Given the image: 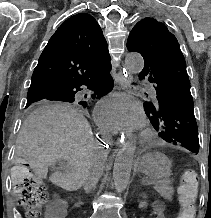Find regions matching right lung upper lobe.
<instances>
[{"label": "right lung upper lobe", "mask_w": 211, "mask_h": 218, "mask_svg": "<svg viewBox=\"0 0 211 218\" xmlns=\"http://www.w3.org/2000/svg\"><path fill=\"white\" fill-rule=\"evenodd\" d=\"M110 63L107 42L94 17L80 13L57 29L33 72L27 101L61 91Z\"/></svg>", "instance_id": "cb5924a9"}]
</instances>
